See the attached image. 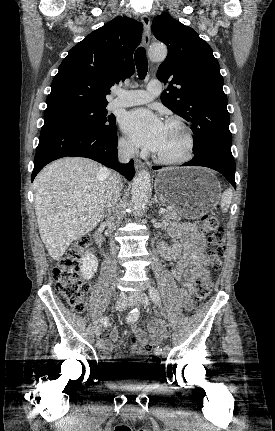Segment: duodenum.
<instances>
[{
    "instance_id": "obj_1",
    "label": "duodenum",
    "mask_w": 275,
    "mask_h": 431,
    "mask_svg": "<svg viewBox=\"0 0 275 431\" xmlns=\"http://www.w3.org/2000/svg\"><path fill=\"white\" fill-rule=\"evenodd\" d=\"M94 237H95V241H96L98 244H102V243H103V236H102L101 232L97 231V232L95 233Z\"/></svg>"
}]
</instances>
